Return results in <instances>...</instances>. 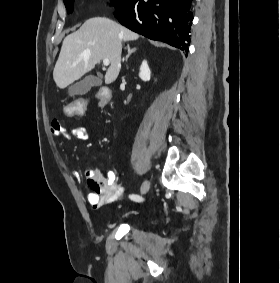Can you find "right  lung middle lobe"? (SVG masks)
I'll use <instances>...</instances> for the list:
<instances>
[{"mask_svg":"<svg viewBox=\"0 0 280 283\" xmlns=\"http://www.w3.org/2000/svg\"><path fill=\"white\" fill-rule=\"evenodd\" d=\"M73 1L74 0H64L68 13L73 11ZM126 2L127 0H112V4L115 5L116 10L120 9Z\"/></svg>","mask_w":280,"mask_h":283,"instance_id":"1","label":"right lung middle lobe"}]
</instances>
